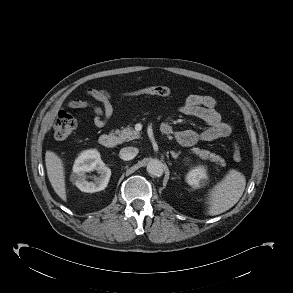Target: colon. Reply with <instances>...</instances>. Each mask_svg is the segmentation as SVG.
<instances>
[{
    "label": "colon",
    "mask_w": 293,
    "mask_h": 293,
    "mask_svg": "<svg viewBox=\"0 0 293 293\" xmlns=\"http://www.w3.org/2000/svg\"><path fill=\"white\" fill-rule=\"evenodd\" d=\"M128 95H156V96H168L172 94V90L167 86H149L140 89H136L127 93ZM76 128V120L74 116L64 110H61L54 121L53 131L54 136L58 140H66L70 137L72 132ZM233 159L236 162L242 160V154L239 143L234 141L233 143Z\"/></svg>",
    "instance_id": "5ec220e1"
}]
</instances>
